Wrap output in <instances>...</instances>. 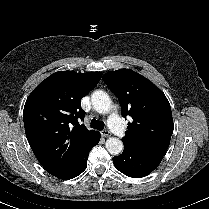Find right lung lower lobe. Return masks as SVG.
I'll return each instance as SVG.
<instances>
[{"mask_svg":"<svg viewBox=\"0 0 209 209\" xmlns=\"http://www.w3.org/2000/svg\"><path fill=\"white\" fill-rule=\"evenodd\" d=\"M100 140L99 133H96L83 147L76 159L59 174L56 175L59 179H72L80 175L87 167L88 154L93 146L97 145Z\"/></svg>","mask_w":209,"mask_h":209,"instance_id":"1","label":"right lung lower lobe"}]
</instances>
